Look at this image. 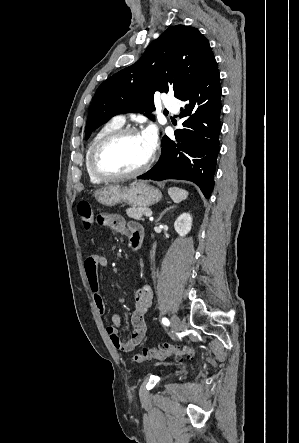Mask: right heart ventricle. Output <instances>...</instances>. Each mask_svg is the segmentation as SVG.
Listing matches in <instances>:
<instances>
[{
    "label": "right heart ventricle",
    "instance_id": "obj_1",
    "mask_svg": "<svg viewBox=\"0 0 299 443\" xmlns=\"http://www.w3.org/2000/svg\"><path fill=\"white\" fill-rule=\"evenodd\" d=\"M122 126V123L116 121L115 119H112L105 123L91 138L90 142L88 143V146L86 148L85 152V168L88 174V177L92 183H100L101 180L98 179L91 171L90 168V154L91 150L94 147V145L106 134L109 132L118 129Z\"/></svg>",
    "mask_w": 299,
    "mask_h": 443
}]
</instances>
